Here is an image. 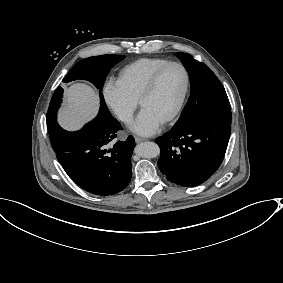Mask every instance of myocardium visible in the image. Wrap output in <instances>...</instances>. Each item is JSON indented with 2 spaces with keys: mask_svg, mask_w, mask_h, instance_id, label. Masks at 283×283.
<instances>
[{
  "mask_svg": "<svg viewBox=\"0 0 283 283\" xmlns=\"http://www.w3.org/2000/svg\"><path fill=\"white\" fill-rule=\"evenodd\" d=\"M171 66H179L183 73H184V78H185V83H184V88L182 91V94L178 100V103L175 107V109L163 120L164 123L170 122L173 119H175L179 113L182 111V108L184 106L189 87H190V74L187 69V67L178 61H170L163 66L159 67L157 70H155L147 79V81L144 84V87L140 93L139 99H138V104L141 106L142 101L147 98L154 90V87L160 78V76Z\"/></svg>",
  "mask_w": 283,
  "mask_h": 283,
  "instance_id": "myocardium-1",
  "label": "myocardium"
}]
</instances>
